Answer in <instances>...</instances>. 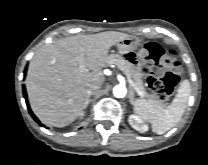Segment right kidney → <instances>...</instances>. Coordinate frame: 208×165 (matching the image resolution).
<instances>
[{"label": "right kidney", "mask_w": 208, "mask_h": 165, "mask_svg": "<svg viewBox=\"0 0 208 165\" xmlns=\"http://www.w3.org/2000/svg\"><path fill=\"white\" fill-rule=\"evenodd\" d=\"M83 116H84V113H80V118H83Z\"/></svg>", "instance_id": "1"}]
</instances>
